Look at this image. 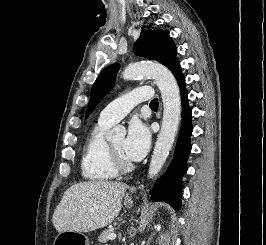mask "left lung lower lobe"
Instances as JSON below:
<instances>
[{"mask_svg": "<svg viewBox=\"0 0 266 245\" xmlns=\"http://www.w3.org/2000/svg\"><path fill=\"white\" fill-rule=\"evenodd\" d=\"M170 70L177 79L181 91L182 123L172 163L165 175L154 186V191L151 194L153 201H165L175 210H178L180 208L181 180L186 173V160L191 151L190 136L192 126L191 109L188 105V94L185 89V78L182 75L179 61Z\"/></svg>", "mask_w": 266, "mask_h": 245, "instance_id": "obj_1", "label": "left lung lower lobe"}]
</instances>
